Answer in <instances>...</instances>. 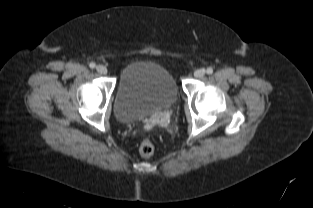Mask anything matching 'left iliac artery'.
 Returning <instances> with one entry per match:
<instances>
[{
  "label": "left iliac artery",
  "instance_id": "44dca946",
  "mask_svg": "<svg viewBox=\"0 0 313 208\" xmlns=\"http://www.w3.org/2000/svg\"><path fill=\"white\" fill-rule=\"evenodd\" d=\"M206 72H207L208 74H212V73H213V69H212L211 67H209V68H207Z\"/></svg>",
  "mask_w": 313,
  "mask_h": 208
}]
</instances>
